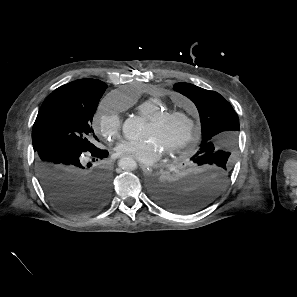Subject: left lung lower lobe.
<instances>
[{"mask_svg": "<svg viewBox=\"0 0 297 297\" xmlns=\"http://www.w3.org/2000/svg\"><path fill=\"white\" fill-rule=\"evenodd\" d=\"M231 168L214 159L192 157L171 182L155 181L152 193L156 202L178 213H192L204 209L223 191Z\"/></svg>", "mask_w": 297, "mask_h": 297, "instance_id": "obj_1", "label": "left lung lower lobe"}]
</instances>
